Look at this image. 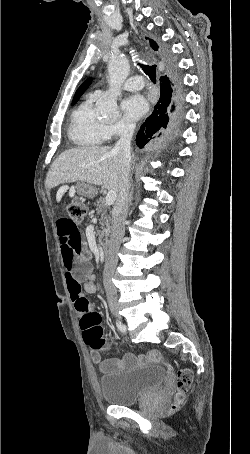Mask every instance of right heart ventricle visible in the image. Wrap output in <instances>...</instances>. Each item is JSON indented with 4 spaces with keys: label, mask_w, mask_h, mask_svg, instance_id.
<instances>
[{
    "label": "right heart ventricle",
    "mask_w": 250,
    "mask_h": 454,
    "mask_svg": "<svg viewBox=\"0 0 250 454\" xmlns=\"http://www.w3.org/2000/svg\"><path fill=\"white\" fill-rule=\"evenodd\" d=\"M95 102L89 96L72 113L68 137L77 147H97L110 137L108 126L96 114Z\"/></svg>",
    "instance_id": "obj_1"
}]
</instances>
